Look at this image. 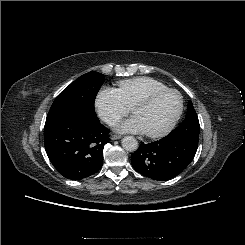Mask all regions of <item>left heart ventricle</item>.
I'll list each match as a JSON object with an SVG mask.
<instances>
[{"label":"left heart ventricle","mask_w":245,"mask_h":245,"mask_svg":"<svg viewBox=\"0 0 245 245\" xmlns=\"http://www.w3.org/2000/svg\"><path fill=\"white\" fill-rule=\"evenodd\" d=\"M179 103L176 94L167 93L149 104L136 106L133 113L139 119L144 132H156L172 121L179 109Z\"/></svg>","instance_id":"b2bd125f"}]
</instances>
